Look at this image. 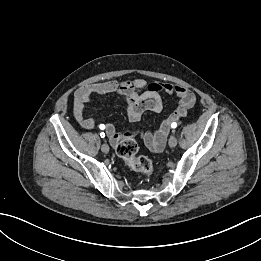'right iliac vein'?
<instances>
[{
    "label": "right iliac vein",
    "instance_id": "obj_1",
    "mask_svg": "<svg viewBox=\"0 0 261 261\" xmlns=\"http://www.w3.org/2000/svg\"><path fill=\"white\" fill-rule=\"evenodd\" d=\"M101 150H102V152H104V153H108V152H109V146H108L107 144H103V145L101 146Z\"/></svg>",
    "mask_w": 261,
    "mask_h": 261
}]
</instances>
